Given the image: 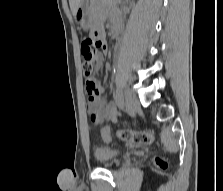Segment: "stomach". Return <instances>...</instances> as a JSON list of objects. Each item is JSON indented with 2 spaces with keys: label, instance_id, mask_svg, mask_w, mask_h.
<instances>
[{
  "label": "stomach",
  "instance_id": "stomach-1",
  "mask_svg": "<svg viewBox=\"0 0 223 191\" xmlns=\"http://www.w3.org/2000/svg\"><path fill=\"white\" fill-rule=\"evenodd\" d=\"M75 20L77 24L83 29L92 28L93 20L89 7V0H83V2L76 11Z\"/></svg>",
  "mask_w": 223,
  "mask_h": 191
}]
</instances>
